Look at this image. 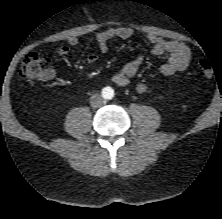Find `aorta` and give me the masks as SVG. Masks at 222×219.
Returning a JSON list of instances; mask_svg holds the SVG:
<instances>
[{
	"mask_svg": "<svg viewBox=\"0 0 222 219\" xmlns=\"http://www.w3.org/2000/svg\"><path fill=\"white\" fill-rule=\"evenodd\" d=\"M104 94L108 97L111 98L113 96V91L110 88H106L104 91Z\"/></svg>",
	"mask_w": 222,
	"mask_h": 219,
	"instance_id": "aorta-1",
	"label": "aorta"
}]
</instances>
